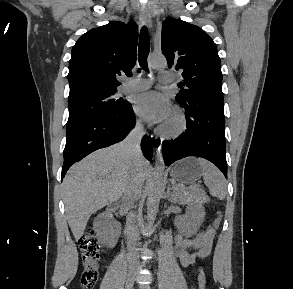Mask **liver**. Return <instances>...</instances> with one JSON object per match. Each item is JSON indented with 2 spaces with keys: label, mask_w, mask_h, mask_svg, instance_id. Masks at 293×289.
I'll return each instance as SVG.
<instances>
[{
  "label": "liver",
  "mask_w": 293,
  "mask_h": 289,
  "mask_svg": "<svg viewBox=\"0 0 293 289\" xmlns=\"http://www.w3.org/2000/svg\"><path fill=\"white\" fill-rule=\"evenodd\" d=\"M133 169L134 160L122 143L97 150L69 169L62 184L63 200L76 240L94 212L121 198ZM148 171L149 163L142 156L138 167L142 182Z\"/></svg>",
  "instance_id": "liver-1"
}]
</instances>
